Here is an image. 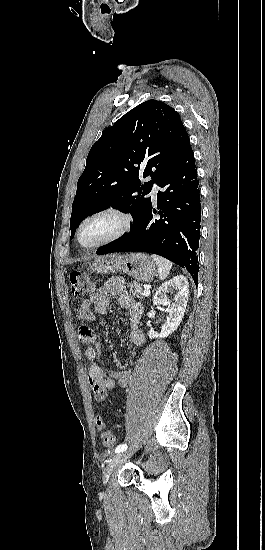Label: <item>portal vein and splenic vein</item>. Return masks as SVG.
Masks as SVG:
<instances>
[{"instance_id": "18ae733b", "label": "portal vein and splenic vein", "mask_w": 265, "mask_h": 550, "mask_svg": "<svg viewBox=\"0 0 265 550\" xmlns=\"http://www.w3.org/2000/svg\"><path fill=\"white\" fill-rule=\"evenodd\" d=\"M143 295L148 297L150 295V290L149 289H145L144 292H143Z\"/></svg>"}]
</instances>
